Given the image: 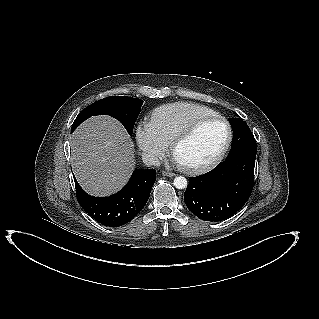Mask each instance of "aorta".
I'll list each match as a JSON object with an SVG mask.
<instances>
[{"mask_svg": "<svg viewBox=\"0 0 319 319\" xmlns=\"http://www.w3.org/2000/svg\"><path fill=\"white\" fill-rule=\"evenodd\" d=\"M174 186L177 189H184L187 187V180L183 176H178L174 179Z\"/></svg>", "mask_w": 319, "mask_h": 319, "instance_id": "obj_1", "label": "aorta"}]
</instances>
